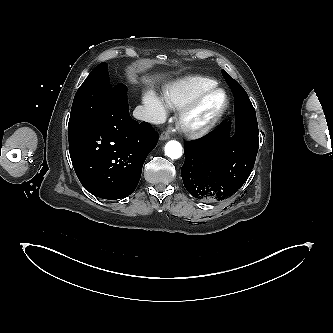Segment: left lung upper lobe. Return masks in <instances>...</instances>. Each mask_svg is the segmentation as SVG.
<instances>
[{"label": "left lung upper lobe", "instance_id": "left-lung-upper-lobe-1", "mask_svg": "<svg viewBox=\"0 0 333 333\" xmlns=\"http://www.w3.org/2000/svg\"><path fill=\"white\" fill-rule=\"evenodd\" d=\"M222 73H223L224 77L226 78L227 82L229 83V85L234 93V96L235 97L241 96L249 102L248 95L246 94L245 90L241 87V85L237 81H235L233 78H231L227 74L226 71L222 70Z\"/></svg>", "mask_w": 333, "mask_h": 333}]
</instances>
